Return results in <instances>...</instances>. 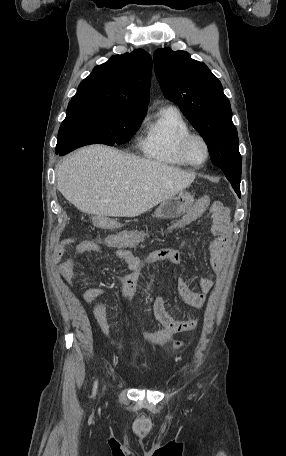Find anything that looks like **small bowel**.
I'll use <instances>...</instances> for the list:
<instances>
[{
    "mask_svg": "<svg viewBox=\"0 0 286 456\" xmlns=\"http://www.w3.org/2000/svg\"><path fill=\"white\" fill-rule=\"evenodd\" d=\"M206 207L207 205L200 203L195 204L186 212V214L172 223L162 233L168 235L183 229L197 220L203 214ZM210 210L213 217V224L211 227L212 239L210 240L208 247L209 264L214 271L222 272L230 247L228 236L229 214L223 207L217 210L210 207ZM106 237L112 238L113 241L107 242ZM106 237L101 240H83L77 243L64 260H62V258L66 254V246L70 243V240H63L59 243L54 251V262L58 264V273L65 284L69 287H73L75 262L78 257L100 254L102 253L103 246L111 248L114 250L113 254L115 258L124 262L130 271L123 278L124 290L122 302L125 311L127 312L135 295L142 268L147 264L162 262L164 263V267L154 283L155 295L152 302V309L155 318L163 325V329L156 332H145L143 333V338L149 344L159 345L173 334L194 329L198 324V320L177 321L173 319L166 310L165 301L161 294L167 266L170 264H180L183 260L184 243L178 248L155 250L148 254L144 259H140L134 253L125 249V247L143 242L145 240L144 234L140 232L122 231ZM196 285L200 289V292L193 291L182 276H178L176 279V289L183 302L189 306L201 308L206 303L207 294L213 287V281L209 278L199 276L196 278ZM103 294L104 291L101 288H89L84 292L82 301L88 307L95 304L93 311L94 321L100 333L107 338L109 336L110 327L107 320L106 306L100 301Z\"/></svg>",
    "mask_w": 286,
    "mask_h": 456,
    "instance_id": "obj_1",
    "label": "small bowel"
}]
</instances>
